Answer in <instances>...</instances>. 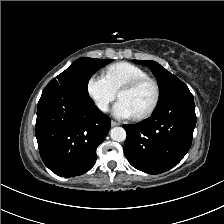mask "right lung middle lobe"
I'll return each instance as SVG.
<instances>
[{"label":"right lung middle lobe","mask_w":224,"mask_h":224,"mask_svg":"<svg viewBox=\"0 0 224 224\" xmlns=\"http://www.w3.org/2000/svg\"><path fill=\"white\" fill-rule=\"evenodd\" d=\"M112 61L113 59L80 58L52 79L46 87L65 88L89 97L87 91L89 79L98 69Z\"/></svg>","instance_id":"obj_1"}]
</instances>
